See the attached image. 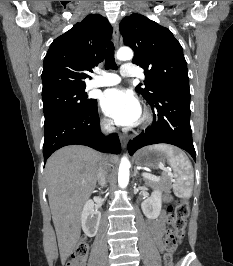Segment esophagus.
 Here are the masks:
<instances>
[{
    "label": "esophagus",
    "mask_w": 233,
    "mask_h": 266,
    "mask_svg": "<svg viewBox=\"0 0 233 266\" xmlns=\"http://www.w3.org/2000/svg\"><path fill=\"white\" fill-rule=\"evenodd\" d=\"M113 41L116 47L119 45V26L118 23L113 25ZM120 142L123 148L127 146V138L124 135H120Z\"/></svg>",
    "instance_id": "obj_1"
}]
</instances>
